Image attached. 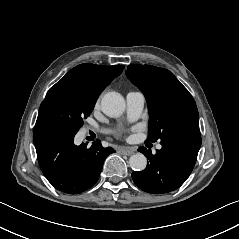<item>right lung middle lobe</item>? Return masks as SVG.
<instances>
[{"instance_id":"right-lung-middle-lobe-1","label":"right lung middle lobe","mask_w":239,"mask_h":239,"mask_svg":"<svg viewBox=\"0 0 239 239\" xmlns=\"http://www.w3.org/2000/svg\"><path fill=\"white\" fill-rule=\"evenodd\" d=\"M97 98L84 95L67 82L59 81L52 86L41 103L36 125L57 123L77 133L92 112Z\"/></svg>"}]
</instances>
